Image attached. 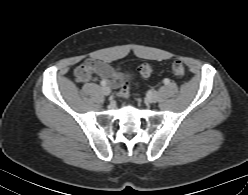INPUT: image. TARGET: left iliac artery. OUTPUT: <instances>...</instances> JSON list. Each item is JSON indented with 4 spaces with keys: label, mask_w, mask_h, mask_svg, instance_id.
Here are the masks:
<instances>
[{
    "label": "left iliac artery",
    "mask_w": 248,
    "mask_h": 195,
    "mask_svg": "<svg viewBox=\"0 0 248 195\" xmlns=\"http://www.w3.org/2000/svg\"><path fill=\"white\" fill-rule=\"evenodd\" d=\"M164 83L168 84L169 83V79H164Z\"/></svg>",
    "instance_id": "obj_1"
}]
</instances>
